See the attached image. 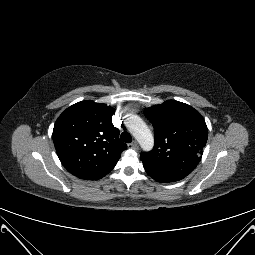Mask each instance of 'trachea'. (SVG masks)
I'll use <instances>...</instances> for the list:
<instances>
[{"mask_svg":"<svg viewBox=\"0 0 255 255\" xmlns=\"http://www.w3.org/2000/svg\"><path fill=\"white\" fill-rule=\"evenodd\" d=\"M120 139L125 143H131L132 137L128 132H122L120 135Z\"/></svg>","mask_w":255,"mask_h":255,"instance_id":"obj_1","label":"trachea"}]
</instances>
